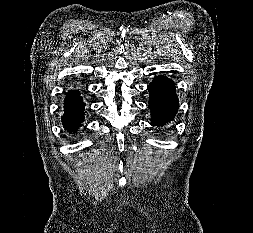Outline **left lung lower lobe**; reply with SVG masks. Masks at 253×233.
<instances>
[{
  "label": "left lung lower lobe",
  "mask_w": 253,
  "mask_h": 233,
  "mask_svg": "<svg viewBox=\"0 0 253 233\" xmlns=\"http://www.w3.org/2000/svg\"><path fill=\"white\" fill-rule=\"evenodd\" d=\"M150 92L148 108L152 113V125H164L171 121L178 109V98L174 82L164 76H157L148 86Z\"/></svg>",
  "instance_id": "0a47b994"
}]
</instances>
